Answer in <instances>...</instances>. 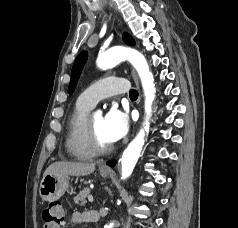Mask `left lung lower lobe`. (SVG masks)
<instances>
[{"label": "left lung lower lobe", "mask_w": 238, "mask_h": 228, "mask_svg": "<svg viewBox=\"0 0 238 228\" xmlns=\"http://www.w3.org/2000/svg\"><path fill=\"white\" fill-rule=\"evenodd\" d=\"M107 164L113 167L116 164V160L109 161Z\"/></svg>", "instance_id": "obj_1"}]
</instances>
